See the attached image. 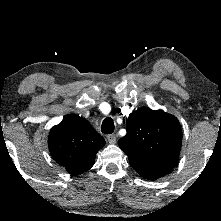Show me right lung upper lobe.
<instances>
[{
  "instance_id": "right-lung-upper-lobe-1",
  "label": "right lung upper lobe",
  "mask_w": 221,
  "mask_h": 221,
  "mask_svg": "<svg viewBox=\"0 0 221 221\" xmlns=\"http://www.w3.org/2000/svg\"><path fill=\"white\" fill-rule=\"evenodd\" d=\"M104 138L84 118L70 115L49 133L48 146L54 160L74 175L89 170Z\"/></svg>"
}]
</instances>
